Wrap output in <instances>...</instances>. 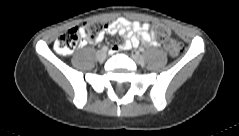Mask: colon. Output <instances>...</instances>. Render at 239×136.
I'll list each match as a JSON object with an SVG mask.
<instances>
[{
  "label": "colon",
  "instance_id": "1",
  "mask_svg": "<svg viewBox=\"0 0 239 136\" xmlns=\"http://www.w3.org/2000/svg\"><path fill=\"white\" fill-rule=\"evenodd\" d=\"M105 29L101 22H85L81 27H74L61 34L55 41V50L66 55L71 53L78 45L82 35L95 39ZM157 35L162 39L163 45L170 56H177L182 50V44L169 37V30L162 24L155 25Z\"/></svg>",
  "mask_w": 239,
  "mask_h": 136
}]
</instances>
